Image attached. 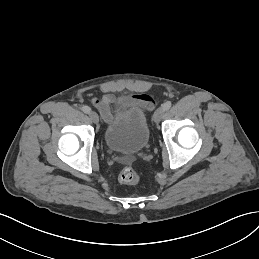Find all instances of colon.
<instances>
[{"mask_svg":"<svg viewBox=\"0 0 259 259\" xmlns=\"http://www.w3.org/2000/svg\"><path fill=\"white\" fill-rule=\"evenodd\" d=\"M118 178L122 183L136 184L139 181L140 176L134 169L127 167L119 173Z\"/></svg>","mask_w":259,"mask_h":259,"instance_id":"obj_1","label":"colon"}]
</instances>
